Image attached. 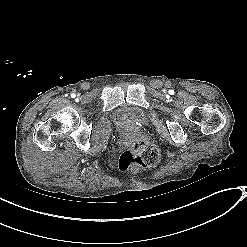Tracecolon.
<instances>
[{
    "label": "colon",
    "mask_w": 247,
    "mask_h": 247,
    "mask_svg": "<svg viewBox=\"0 0 247 247\" xmlns=\"http://www.w3.org/2000/svg\"><path fill=\"white\" fill-rule=\"evenodd\" d=\"M160 160V153L156 145L149 141H139L134 148L125 151L120 156V168H148L156 165Z\"/></svg>",
    "instance_id": "5ec220e1"
}]
</instances>
